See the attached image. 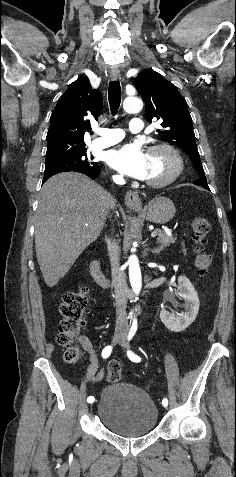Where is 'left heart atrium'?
Masks as SVG:
<instances>
[{"label": "left heart atrium", "mask_w": 236, "mask_h": 477, "mask_svg": "<svg viewBox=\"0 0 236 477\" xmlns=\"http://www.w3.org/2000/svg\"><path fill=\"white\" fill-rule=\"evenodd\" d=\"M108 164L121 173L137 178L146 179L148 170V153L139 143L124 144L107 154Z\"/></svg>", "instance_id": "39dd6f15"}]
</instances>
